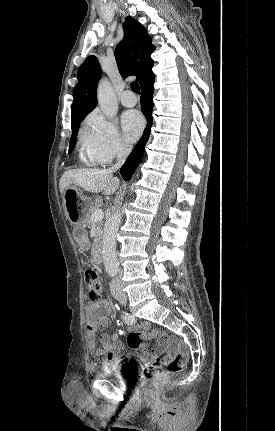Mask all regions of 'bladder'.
Instances as JSON below:
<instances>
[{
	"mask_svg": "<svg viewBox=\"0 0 275 431\" xmlns=\"http://www.w3.org/2000/svg\"><path fill=\"white\" fill-rule=\"evenodd\" d=\"M131 370V365L128 363H111L103 367L101 375L113 376L120 382H127V371Z\"/></svg>",
	"mask_w": 275,
	"mask_h": 431,
	"instance_id": "obj_1",
	"label": "bladder"
}]
</instances>
